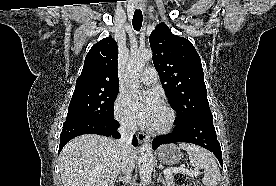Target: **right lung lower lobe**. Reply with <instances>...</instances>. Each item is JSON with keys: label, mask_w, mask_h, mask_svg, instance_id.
<instances>
[{"label": "right lung lower lobe", "mask_w": 276, "mask_h": 186, "mask_svg": "<svg viewBox=\"0 0 276 186\" xmlns=\"http://www.w3.org/2000/svg\"><path fill=\"white\" fill-rule=\"evenodd\" d=\"M119 124L114 118L110 119H97V118H79L74 120L65 121L60 135L59 152L65 144L72 138L82 134H99L103 136H112L119 138L118 133ZM133 145L137 146L138 141L133 137Z\"/></svg>", "instance_id": "98d812e1"}]
</instances>
